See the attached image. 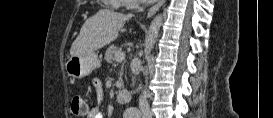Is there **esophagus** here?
I'll return each mask as SVG.
<instances>
[{"instance_id":"obj_1","label":"esophagus","mask_w":273,"mask_h":118,"mask_svg":"<svg viewBox=\"0 0 273 118\" xmlns=\"http://www.w3.org/2000/svg\"><path fill=\"white\" fill-rule=\"evenodd\" d=\"M166 0H159L155 5H153L147 13V18L153 16L158 10L159 8L165 3Z\"/></svg>"}]
</instances>
